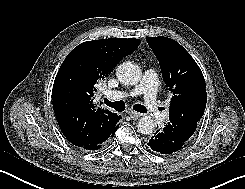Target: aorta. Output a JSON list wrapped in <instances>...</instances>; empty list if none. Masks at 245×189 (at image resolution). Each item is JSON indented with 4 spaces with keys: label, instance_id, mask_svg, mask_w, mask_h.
Instances as JSON below:
<instances>
[{
    "label": "aorta",
    "instance_id": "1",
    "mask_svg": "<svg viewBox=\"0 0 245 189\" xmlns=\"http://www.w3.org/2000/svg\"><path fill=\"white\" fill-rule=\"evenodd\" d=\"M118 80L124 85L137 84L142 76L141 69L133 62L127 61L120 64L116 70ZM137 131L142 135H150L155 129V122L150 116H143L138 121Z\"/></svg>",
    "mask_w": 245,
    "mask_h": 189
}]
</instances>
